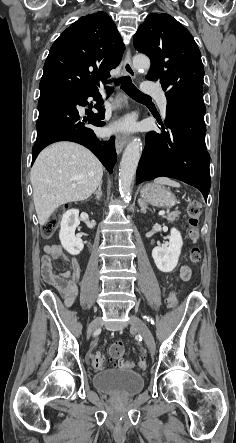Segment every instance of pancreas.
<instances>
[{"label":"pancreas","instance_id":"pancreas-1","mask_svg":"<svg viewBox=\"0 0 236 443\" xmlns=\"http://www.w3.org/2000/svg\"><path fill=\"white\" fill-rule=\"evenodd\" d=\"M179 215H180V212L179 211H175V212H171V213H169L167 216H165V218L169 221V222H175V221H177L178 220V218H179Z\"/></svg>","mask_w":236,"mask_h":443}]
</instances>
